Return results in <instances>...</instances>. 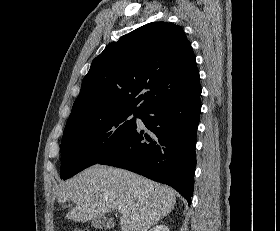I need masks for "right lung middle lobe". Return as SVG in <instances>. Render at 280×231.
Listing matches in <instances>:
<instances>
[{"label":"right lung middle lobe","instance_id":"right-lung-middle-lobe-1","mask_svg":"<svg viewBox=\"0 0 280 231\" xmlns=\"http://www.w3.org/2000/svg\"><path fill=\"white\" fill-rule=\"evenodd\" d=\"M131 114L135 117L129 119ZM140 113L121 112L98 118L69 119L61 142V179L99 163L137 128Z\"/></svg>","mask_w":280,"mask_h":231}]
</instances>
